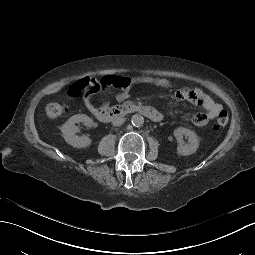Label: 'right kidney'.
Wrapping results in <instances>:
<instances>
[{"instance_id": "ca27d5eb", "label": "right kidney", "mask_w": 255, "mask_h": 255, "mask_svg": "<svg viewBox=\"0 0 255 255\" xmlns=\"http://www.w3.org/2000/svg\"><path fill=\"white\" fill-rule=\"evenodd\" d=\"M83 122L86 126L91 127L93 120L85 114H77L68 119V121L61 126V132L65 141L77 148H84L91 144V139L86 136H77L79 129L75 126L76 123Z\"/></svg>"}]
</instances>
